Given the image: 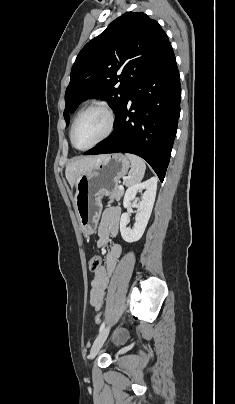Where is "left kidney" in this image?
I'll use <instances>...</instances> for the list:
<instances>
[{
    "mask_svg": "<svg viewBox=\"0 0 235 404\" xmlns=\"http://www.w3.org/2000/svg\"><path fill=\"white\" fill-rule=\"evenodd\" d=\"M145 190L141 201L138 203V213L136 214L135 224L133 228L127 227L130 215L129 213H123L120 219V232L123 240L128 243L138 241L148 224L157 190V178L152 177L149 180L132 185L125 193L123 206L128 208L131 201L136 200L138 192Z\"/></svg>",
    "mask_w": 235,
    "mask_h": 404,
    "instance_id": "5707ae66",
    "label": "left kidney"
}]
</instances>
